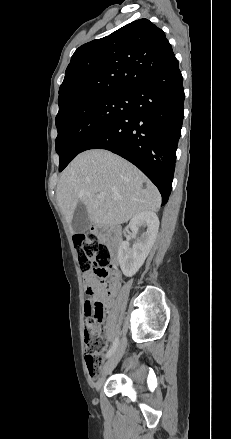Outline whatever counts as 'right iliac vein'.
<instances>
[{
    "label": "right iliac vein",
    "instance_id": "right-iliac-vein-1",
    "mask_svg": "<svg viewBox=\"0 0 231 439\" xmlns=\"http://www.w3.org/2000/svg\"><path fill=\"white\" fill-rule=\"evenodd\" d=\"M126 347V338H123L115 352L111 355L109 360L104 364L102 369V376L96 383V390L99 391L101 389V386L103 384V381L107 374H109L118 364L120 361Z\"/></svg>",
    "mask_w": 231,
    "mask_h": 439
}]
</instances>
